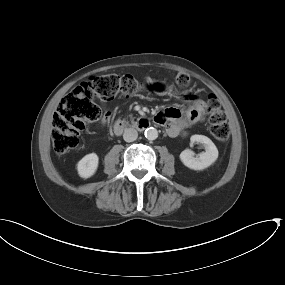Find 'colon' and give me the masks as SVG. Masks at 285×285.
Here are the masks:
<instances>
[{
    "mask_svg": "<svg viewBox=\"0 0 285 285\" xmlns=\"http://www.w3.org/2000/svg\"><path fill=\"white\" fill-rule=\"evenodd\" d=\"M189 81V75L186 73H178L175 77L176 84L181 88L188 86ZM139 91L140 85L137 80L128 74L97 76L74 87L63 98L54 115L51 135L56 154L63 155L78 146L80 133L84 130L86 121H94L100 115L97 100L111 99L119 94L134 95ZM204 110L209 116V130L212 136L219 142L226 141L230 129L220 101L214 96H209ZM190 118L195 120L193 116ZM154 122L163 125L166 119L156 115Z\"/></svg>",
    "mask_w": 285,
    "mask_h": 285,
    "instance_id": "1",
    "label": "colon"
}]
</instances>
